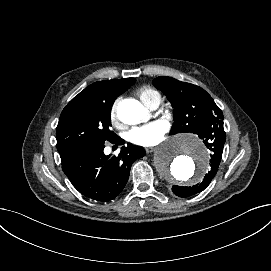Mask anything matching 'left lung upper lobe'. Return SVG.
<instances>
[{"mask_svg": "<svg viewBox=\"0 0 271 271\" xmlns=\"http://www.w3.org/2000/svg\"><path fill=\"white\" fill-rule=\"evenodd\" d=\"M153 83L174 106L171 134L191 132L199 136L222 123V111L201 87L164 76L155 78Z\"/></svg>", "mask_w": 271, "mask_h": 271, "instance_id": "5c2ea615", "label": "left lung upper lobe"}]
</instances>
